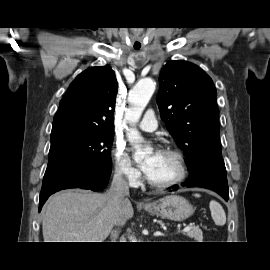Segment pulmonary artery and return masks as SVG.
<instances>
[{
    "label": "pulmonary artery",
    "mask_w": 270,
    "mask_h": 270,
    "mask_svg": "<svg viewBox=\"0 0 270 270\" xmlns=\"http://www.w3.org/2000/svg\"><path fill=\"white\" fill-rule=\"evenodd\" d=\"M139 127L147 132H152L157 129V121L153 110H147L143 119L139 123Z\"/></svg>",
    "instance_id": "1"
}]
</instances>
